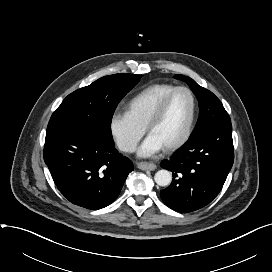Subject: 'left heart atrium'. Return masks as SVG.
Listing matches in <instances>:
<instances>
[{
    "label": "left heart atrium",
    "instance_id": "left-heart-atrium-1",
    "mask_svg": "<svg viewBox=\"0 0 272 272\" xmlns=\"http://www.w3.org/2000/svg\"><path fill=\"white\" fill-rule=\"evenodd\" d=\"M164 147L161 142L152 134H149L145 141L142 143L138 150V155L141 157H148L151 156Z\"/></svg>",
    "mask_w": 272,
    "mask_h": 272
}]
</instances>
